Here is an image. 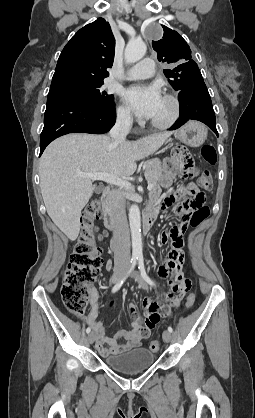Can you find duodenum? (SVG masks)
<instances>
[{
    "mask_svg": "<svg viewBox=\"0 0 255 418\" xmlns=\"http://www.w3.org/2000/svg\"><path fill=\"white\" fill-rule=\"evenodd\" d=\"M103 219L107 230L115 231L117 228V212L113 205L112 192L107 187L102 194ZM157 211L154 207H149L143 217V230L149 232L155 222Z\"/></svg>",
    "mask_w": 255,
    "mask_h": 418,
    "instance_id": "410a0bca",
    "label": "duodenum"
}]
</instances>
